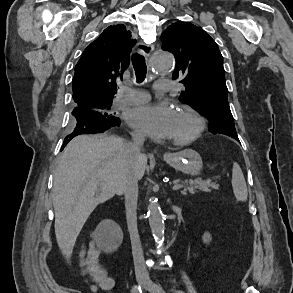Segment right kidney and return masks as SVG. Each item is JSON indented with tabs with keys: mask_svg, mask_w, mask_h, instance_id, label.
<instances>
[{
	"mask_svg": "<svg viewBox=\"0 0 293 293\" xmlns=\"http://www.w3.org/2000/svg\"><path fill=\"white\" fill-rule=\"evenodd\" d=\"M123 240V233L120 227L114 222H109L107 226V235L101 241V248L106 252H113L119 248Z\"/></svg>",
	"mask_w": 293,
	"mask_h": 293,
	"instance_id": "1",
	"label": "right kidney"
}]
</instances>
